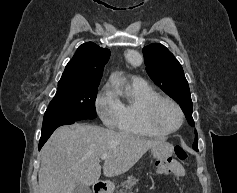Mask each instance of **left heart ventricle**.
Here are the masks:
<instances>
[{"mask_svg":"<svg viewBox=\"0 0 237 193\" xmlns=\"http://www.w3.org/2000/svg\"><path fill=\"white\" fill-rule=\"evenodd\" d=\"M156 121L162 127L174 129L180 122V116L176 108L170 103L163 102L159 105L155 115Z\"/></svg>","mask_w":237,"mask_h":193,"instance_id":"1","label":"left heart ventricle"}]
</instances>
